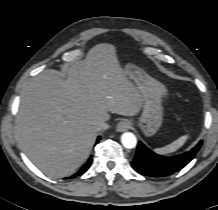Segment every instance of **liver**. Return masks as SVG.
I'll return each mask as SVG.
<instances>
[{"label":"liver","instance_id":"6515ba94","mask_svg":"<svg viewBox=\"0 0 218 210\" xmlns=\"http://www.w3.org/2000/svg\"><path fill=\"white\" fill-rule=\"evenodd\" d=\"M126 75L116 49L99 44L68 69L66 79L55 70L35 76L21 94L16 122L30 161L51 177L72 175L89 157L98 122L109 120V112L134 116L143 106L142 90ZM151 82L167 95L163 84Z\"/></svg>","mask_w":218,"mask_h":210}]
</instances>
